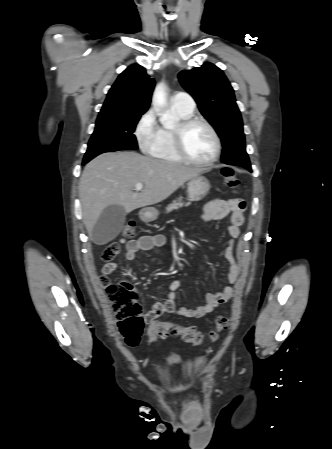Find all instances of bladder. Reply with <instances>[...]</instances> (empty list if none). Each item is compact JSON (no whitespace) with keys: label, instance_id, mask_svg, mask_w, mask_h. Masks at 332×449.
<instances>
[{"label":"bladder","instance_id":"obj_1","mask_svg":"<svg viewBox=\"0 0 332 449\" xmlns=\"http://www.w3.org/2000/svg\"><path fill=\"white\" fill-rule=\"evenodd\" d=\"M183 358L178 354H171L165 358V367L172 368L182 362Z\"/></svg>","mask_w":332,"mask_h":449}]
</instances>
